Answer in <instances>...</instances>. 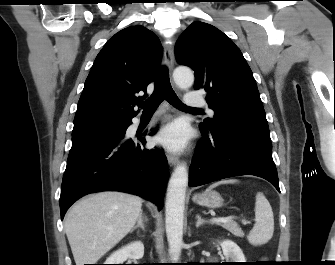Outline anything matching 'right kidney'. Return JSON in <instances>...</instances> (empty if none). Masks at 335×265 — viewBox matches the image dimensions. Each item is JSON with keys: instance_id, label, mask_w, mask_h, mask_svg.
Wrapping results in <instances>:
<instances>
[{"instance_id": "1", "label": "right kidney", "mask_w": 335, "mask_h": 265, "mask_svg": "<svg viewBox=\"0 0 335 265\" xmlns=\"http://www.w3.org/2000/svg\"><path fill=\"white\" fill-rule=\"evenodd\" d=\"M144 255V245L141 241L132 242L121 249L113 252L105 264H123L128 258L141 259Z\"/></svg>"}]
</instances>
